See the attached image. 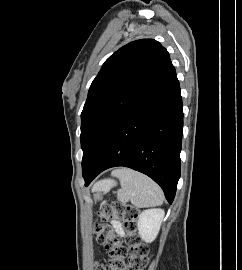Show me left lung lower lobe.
I'll use <instances>...</instances> for the list:
<instances>
[{
    "label": "left lung lower lobe",
    "instance_id": "left-lung-lower-lobe-1",
    "mask_svg": "<svg viewBox=\"0 0 242 270\" xmlns=\"http://www.w3.org/2000/svg\"><path fill=\"white\" fill-rule=\"evenodd\" d=\"M182 128V98L172 67L114 128L83 172L85 185L108 168L125 166L157 182L171 204L180 178Z\"/></svg>",
    "mask_w": 242,
    "mask_h": 270
}]
</instances>
